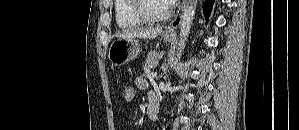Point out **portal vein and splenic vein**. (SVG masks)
I'll return each mask as SVG.
<instances>
[{
  "label": "portal vein and splenic vein",
  "mask_w": 299,
  "mask_h": 130,
  "mask_svg": "<svg viewBox=\"0 0 299 130\" xmlns=\"http://www.w3.org/2000/svg\"><path fill=\"white\" fill-rule=\"evenodd\" d=\"M157 76V73L156 72H151V73H149L148 75H147V78L148 79H152V78H154V77H156Z\"/></svg>",
  "instance_id": "18ae733b"
}]
</instances>
